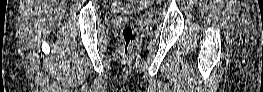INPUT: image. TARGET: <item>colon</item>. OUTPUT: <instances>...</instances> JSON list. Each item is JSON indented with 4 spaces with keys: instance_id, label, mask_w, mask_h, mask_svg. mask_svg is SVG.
Segmentation results:
<instances>
[{
    "instance_id": "colon-1",
    "label": "colon",
    "mask_w": 263,
    "mask_h": 92,
    "mask_svg": "<svg viewBox=\"0 0 263 92\" xmlns=\"http://www.w3.org/2000/svg\"><path fill=\"white\" fill-rule=\"evenodd\" d=\"M111 3L113 5L122 4L120 1H112ZM122 34L124 39L122 50L127 52L131 48V45L136 39L135 26L132 23H127L122 30Z\"/></svg>"
}]
</instances>
